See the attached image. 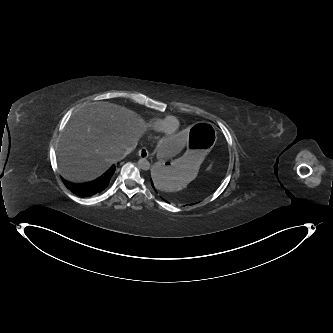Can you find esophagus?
Returning <instances> with one entry per match:
<instances>
[{"label": "esophagus", "mask_w": 333, "mask_h": 333, "mask_svg": "<svg viewBox=\"0 0 333 333\" xmlns=\"http://www.w3.org/2000/svg\"><path fill=\"white\" fill-rule=\"evenodd\" d=\"M138 155L140 158L142 159H146L148 157V150L146 147H142L139 152H138Z\"/></svg>", "instance_id": "34e87169"}]
</instances>
